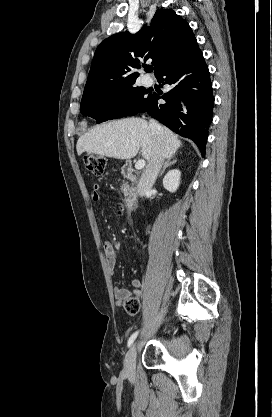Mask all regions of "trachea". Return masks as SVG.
I'll use <instances>...</instances> for the list:
<instances>
[{
  "label": "trachea",
  "mask_w": 272,
  "mask_h": 417,
  "mask_svg": "<svg viewBox=\"0 0 272 417\" xmlns=\"http://www.w3.org/2000/svg\"><path fill=\"white\" fill-rule=\"evenodd\" d=\"M146 71H147V72H152V71H153V66H149V67H147V68H146Z\"/></svg>",
  "instance_id": "1"
}]
</instances>
